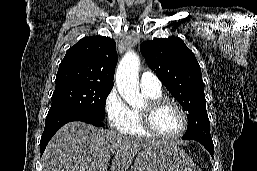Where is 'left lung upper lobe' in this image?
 I'll list each match as a JSON object with an SVG mask.
<instances>
[{"label": "left lung upper lobe", "mask_w": 257, "mask_h": 171, "mask_svg": "<svg viewBox=\"0 0 257 171\" xmlns=\"http://www.w3.org/2000/svg\"><path fill=\"white\" fill-rule=\"evenodd\" d=\"M140 49L148 66L188 112L183 138H211L204 83L194 53L178 37L146 41Z\"/></svg>", "instance_id": "left-lung-upper-lobe-1"}]
</instances>
